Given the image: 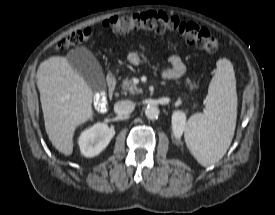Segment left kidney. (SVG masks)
Here are the masks:
<instances>
[{
    "label": "left kidney",
    "instance_id": "left-kidney-1",
    "mask_svg": "<svg viewBox=\"0 0 275 215\" xmlns=\"http://www.w3.org/2000/svg\"><path fill=\"white\" fill-rule=\"evenodd\" d=\"M186 128V114L182 111H175L172 115V131L175 138L180 139Z\"/></svg>",
    "mask_w": 275,
    "mask_h": 215
}]
</instances>
